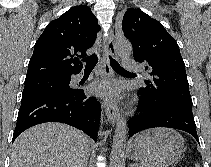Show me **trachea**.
Masks as SVG:
<instances>
[{
	"instance_id": "obj_1",
	"label": "trachea",
	"mask_w": 211,
	"mask_h": 167,
	"mask_svg": "<svg viewBox=\"0 0 211 167\" xmlns=\"http://www.w3.org/2000/svg\"><path fill=\"white\" fill-rule=\"evenodd\" d=\"M109 59H110V64H111L113 69L118 70V71L127 72L111 56H109ZM83 61L86 63L85 69H93L95 67V65L97 64V62H98V57H97L96 54H94V55H91V56L85 58Z\"/></svg>"
}]
</instances>
